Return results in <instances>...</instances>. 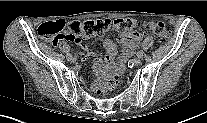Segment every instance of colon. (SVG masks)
<instances>
[{
  "label": "colon",
  "instance_id": "5ec220e1",
  "mask_svg": "<svg viewBox=\"0 0 207 123\" xmlns=\"http://www.w3.org/2000/svg\"><path fill=\"white\" fill-rule=\"evenodd\" d=\"M118 28L120 31L127 32L135 27H139L145 32L155 34L162 41H166L169 37V32L165 25L161 22H142L137 23L131 18H121L114 21L108 19H93L83 22H72L68 26V34L63 35L64 29L63 21L57 20L52 22H45L38 26L37 34L45 39H50L54 45L63 37L70 41L78 40L81 38H89L94 36H100L112 27ZM117 78H108L98 89L99 95H104L106 92L112 90L117 85Z\"/></svg>",
  "mask_w": 207,
  "mask_h": 123
}]
</instances>
